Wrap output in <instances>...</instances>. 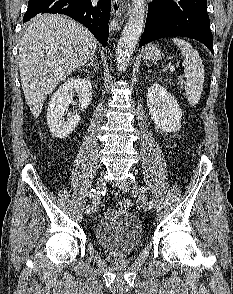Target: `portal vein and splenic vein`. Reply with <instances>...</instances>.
Here are the masks:
<instances>
[{
    "label": "portal vein and splenic vein",
    "mask_w": 233,
    "mask_h": 294,
    "mask_svg": "<svg viewBox=\"0 0 233 294\" xmlns=\"http://www.w3.org/2000/svg\"><path fill=\"white\" fill-rule=\"evenodd\" d=\"M175 72V68L172 66L170 67V73H174ZM179 78L182 80L183 76H179Z\"/></svg>",
    "instance_id": "portal-vein-and-splenic-vein-1"
}]
</instances>
